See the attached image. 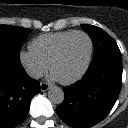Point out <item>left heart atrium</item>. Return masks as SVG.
<instances>
[{
	"label": "left heart atrium",
	"mask_w": 128,
	"mask_h": 128,
	"mask_svg": "<svg viewBox=\"0 0 128 128\" xmlns=\"http://www.w3.org/2000/svg\"><path fill=\"white\" fill-rule=\"evenodd\" d=\"M51 78H52V79H57L54 74H52Z\"/></svg>",
	"instance_id": "39dd6f15"
}]
</instances>
